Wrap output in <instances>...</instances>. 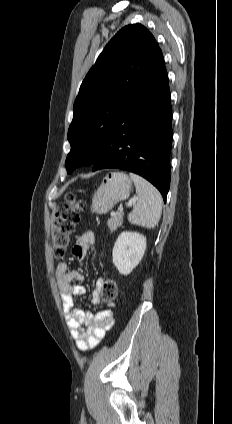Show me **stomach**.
<instances>
[{
    "label": "stomach",
    "mask_w": 232,
    "mask_h": 424,
    "mask_svg": "<svg viewBox=\"0 0 232 424\" xmlns=\"http://www.w3.org/2000/svg\"><path fill=\"white\" fill-rule=\"evenodd\" d=\"M131 187L132 182L127 174L122 172L107 174L93 195L92 212L97 214L108 213L114 205L129 197Z\"/></svg>",
    "instance_id": "0dacf381"
}]
</instances>
